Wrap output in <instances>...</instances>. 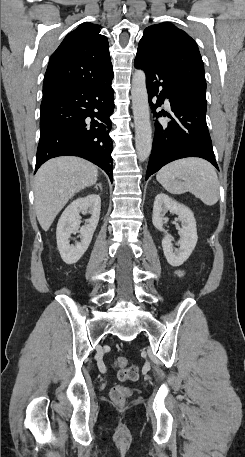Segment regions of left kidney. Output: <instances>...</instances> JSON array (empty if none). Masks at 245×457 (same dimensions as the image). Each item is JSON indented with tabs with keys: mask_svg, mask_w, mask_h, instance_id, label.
<instances>
[{
	"mask_svg": "<svg viewBox=\"0 0 245 457\" xmlns=\"http://www.w3.org/2000/svg\"><path fill=\"white\" fill-rule=\"evenodd\" d=\"M168 210H170L172 214H178V218H175V220H180L181 222L182 229H180V226H178V229L182 237L180 241L176 243L179 249H174L171 243V235H165L164 239H162V249L167 259V263L172 265V267H180V265H183V263L187 261L193 249L196 247L198 239L196 220L192 210H190L188 206L180 204V202H176V200L170 198L168 194L160 192V194H156L155 196L152 222L154 226H156V229H158V231H163V233H166L165 229H163V224L168 220L167 216H165Z\"/></svg>",
	"mask_w": 245,
	"mask_h": 457,
	"instance_id": "obj_1",
	"label": "left kidney"
}]
</instances>
